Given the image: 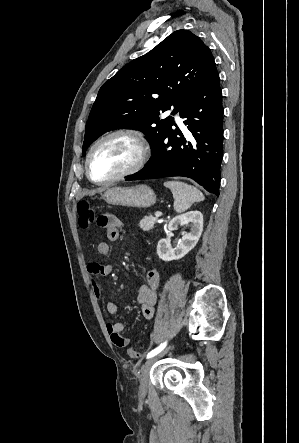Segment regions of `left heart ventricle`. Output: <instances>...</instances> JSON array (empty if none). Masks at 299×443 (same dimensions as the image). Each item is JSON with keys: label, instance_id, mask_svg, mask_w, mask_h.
I'll return each instance as SVG.
<instances>
[{"label": "left heart ventricle", "instance_id": "b2bd125f", "mask_svg": "<svg viewBox=\"0 0 299 443\" xmlns=\"http://www.w3.org/2000/svg\"><path fill=\"white\" fill-rule=\"evenodd\" d=\"M138 156L133 140L115 136L102 142L91 158V174L94 179L110 178L131 166Z\"/></svg>", "mask_w": 299, "mask_h": 443}]
</instances>
